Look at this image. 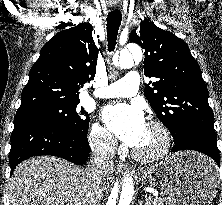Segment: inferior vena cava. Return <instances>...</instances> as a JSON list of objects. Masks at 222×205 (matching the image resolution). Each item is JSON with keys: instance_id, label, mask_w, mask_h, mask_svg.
<instances>
[{"instance_id": "602c4592", "label": "inferior vena cava", "mask_w": 222, "mask_h": 205, "mask_svg": "<svg viewBox=\"0 0 222 205\" xmlns=\"http://www.w3.org/2000/svg\"><path fill=\"white\" fill-rule=\"evenodd\" d=\"M113 148H109L103 152L94 151L88 164L87 173L92 182L99 184L107 175L113 171ZM95 196L88 193L85 197L84 205H95Z\"/></svg>"}]
</instances>
